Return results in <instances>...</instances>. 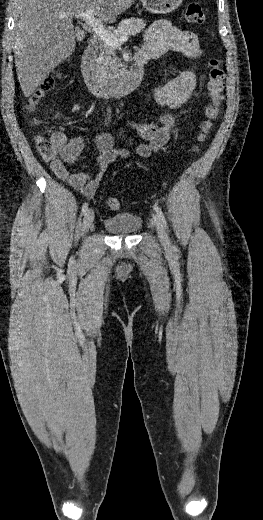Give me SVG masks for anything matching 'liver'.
<instances>
[{"label": "liver", "mask_w": 263, "mask_h": 520, "mask_svg": "<svg viewBox=\"0 0 263 520\" xmlns=\"http://www.w3.org/2000/svg\"><path fill=\"white\" fill-rule=\"evenodd\" d=\"M135 0H18L14 54L25 97L75 50L72 24L77 14L94 10L99 21L114 23ZM65 14L66 17L60 16Z\"/></svg>", "instance_id": "liver-1"}]
</instances>
